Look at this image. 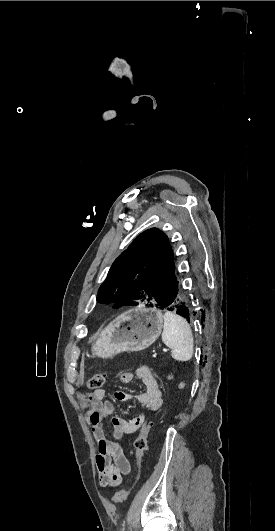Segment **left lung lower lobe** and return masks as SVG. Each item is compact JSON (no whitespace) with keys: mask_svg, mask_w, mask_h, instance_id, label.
<instances>
[{"mask_svg":"<svg viewBox=\"0 0 275 531\" xmlns=\"http://www.w3.org/2000/svg\"><path fill=\"white\" fill-rule=\"evenodd\" d=\"M164 308H167L168 311L176 312L177 314L187 319L188 322L190 321V317L193 314L190 310L189 303L187 302L186 295L181 289H178L177 294Z\"/></svg>","mask_w":275,"mask_h":531,"instance_id":"1","label":"left lung lower lobe"}]
</instances>
